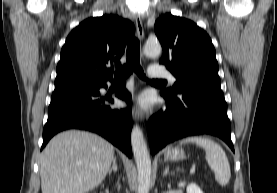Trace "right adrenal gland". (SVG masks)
<instances>
[{"mask_svg": "<svg viewBox=\"0 0 277 193\" xmlns=\"http://www.w3.org/2000/svg\"><path fill=\"white\" fill-rule=\"evenodd\" d=\"M117 169L116 157H114L112 167L109 169L108 174L111 175L112 170L117 172Z\"/></svg>", "mask_w": 277, "mask_h": 193, "instance_id": "2a0ac1e0", "label": "right adrenal gland"}]
</instances>
